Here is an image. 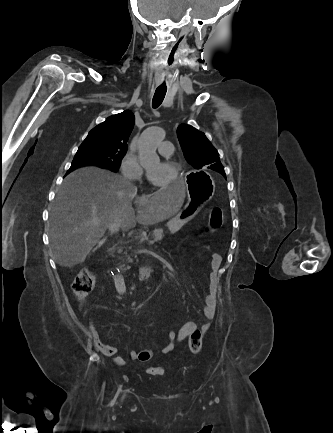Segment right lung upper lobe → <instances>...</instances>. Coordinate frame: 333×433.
Returning <instances> with one entry per match:
<instances>
[{"label": "right lung upper lobe", "instance_id": "1", "mask_svg": "<svg viewBox=\"0 0 333 433\" xmlns=\"http://www.w3.org/2000/svg\"><path fill=\"white\" fill-rule=\"evenodd\" d=\"M134 123L135 116L130 110L112 115L93 128L84 142L94 143L101 147L127 150L128 137Z\"/></svg>", "mask_w": 333, "mask_h": 433}]
</instances>
